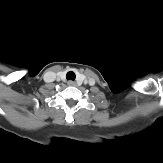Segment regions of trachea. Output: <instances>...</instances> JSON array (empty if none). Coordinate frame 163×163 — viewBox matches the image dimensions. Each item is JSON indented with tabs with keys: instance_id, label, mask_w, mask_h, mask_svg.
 Listing matches in <instances>:
<instances>
[{
	"instance_id": "trachea-1",
	"label": "trachea",
	"mask_w": 163,
	"mask_h": 163,
	"mask_svg": "<svg viewBox=\"0 0 163 163\" xmlns=\"http://www.w3.org/2000/svg\"><path fill=\"white\" fill-rule=\"evenodd\" d=\"M66 78H67V80H72V81H74L75 78H76V75H75V73H74L73 71H69V72L66 74Z\"/></svg>"
}]
</instances>
